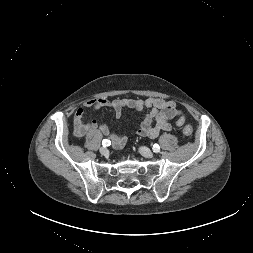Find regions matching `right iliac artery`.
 <instances>
[{
  "instance_id": "82829eb1",
  "label": "right iliac artery",
  "mask_w": 253,
  "mask_h": 253,
  "mask_svg": "<svg viewBox=\"0 0 253 253\" xmlns=\"http://www.w3.org/2000/svg\"><path fill=\"white\" fill-rule=\"evenodd\" d=\"M110 144H111V141L108 140V139H104V140L102 141V145H103L104 147H107V146H109Z\"/></svg>"
}]
</instances>
